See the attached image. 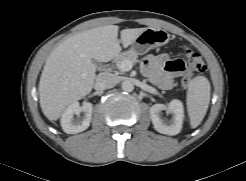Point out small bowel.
<instances>
[{
    "label": "small bowel",
    "instance_id": "obj_1",
    "mask_svg": "<svg viewBox=\"0 0 246 181\" xmlns=\"http://www.w3.org/2000/svg\"><path fill=\"white\" fill-rule=\"evenodd\" d=\"M142 66L144 73L164 89L172 86L174 77L187 72L182 60L172 59L167 53L147 56Z\"/></svg>",
    "mask_w": 246,
    "mask_h": 181
}]
</instances>
